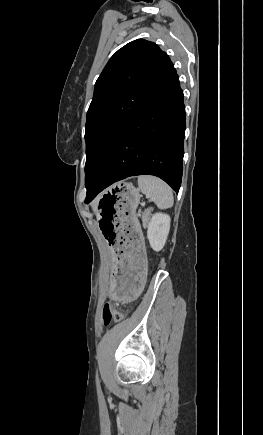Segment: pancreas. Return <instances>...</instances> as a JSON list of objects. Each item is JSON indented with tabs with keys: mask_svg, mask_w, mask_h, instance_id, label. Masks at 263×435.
Here are the masks:
<instances>
[{
	"mask_svg": "<svg viewBox=\"0 0 263 435\" xmlns=\"http://www.w3.org/2000/svg\"><path fill=\"white\" fill-rule=\"evenodd\" d=\"M151 213V208H147L142 214H141V218H142V222H143V226H146L149 220V216Z\"/></svg>",
	"mask_w": 263,
	"mask_h": 435,
	"instance_id": "1",
	"label": "pancreas"
}]
</instances>
